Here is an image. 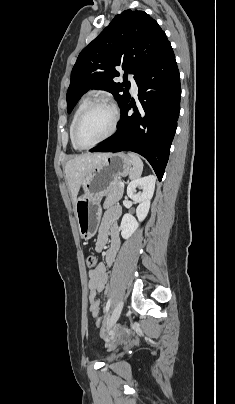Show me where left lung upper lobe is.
<instances>
[{
    "label": "left lung upper lobe",
    "mask_w": 235,
    "mask_h": 404,
    "mask_svg": "<svg viewBox=\"0 0 235 404\" xmlns=\"http://www.w3.org/2000/svg\"><path fill=\"white\" fill-rule=\"evenodd\" d=\"M169 43L158 23L143 11L125 10L85 47L72 69L67 91V112L89 89L106 90L114 95L119 107L130 97L129 85L115 83L118 69L136 78Z\"/></svg>",
    "instance_id": "1"
}]
</instances>
